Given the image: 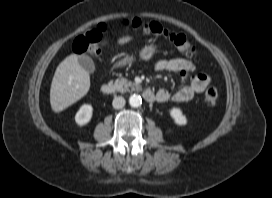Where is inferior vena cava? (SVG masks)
<instances>
[{"label":"inferior vena cava","mask_w":272,"mask_h":198,"mask_svg":"<svg viewBox=\"0 0 272 198\" xmlns=\"http://www.w3.org/2000/svg\"><path fill=\"white\" fill-rule=\"evenodd\" d=\"M125 99L123 97H115L113 99L112 105L115 109H121L125 106Z\"/></svg>","instance_id":"obj_1"}]
</instances>
